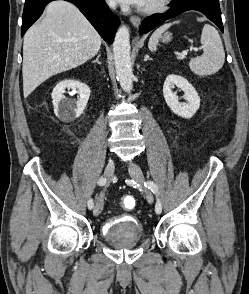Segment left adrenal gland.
<instances>
[{
  "mask_svg": "<svg viewBox=\"0 0 249 294\" xmlns=\"http://www.w3.org/2000/svg\"><path fill=\"white\" fill-rule=\"evenodd\" d=\"M149 59H150L149 55H145V57H144V61H147V60H149Z\"/></svg>",
  "mask_w": 249,
  "mask_h": 294,
  "instance_id": "a2214340",
  "label": "left adrenal gland"
}]
</instances>
